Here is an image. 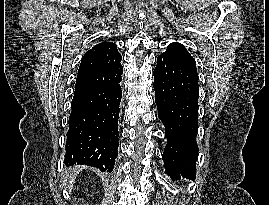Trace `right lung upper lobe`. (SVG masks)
I'll list each match as a JSON object with an SVG mask.
<instances>
[{
    "label": "right lung upper lobe",
    "instance_id": "obj_1",
    "mask_svg": "<svg viewBox=\"0 0 269 205\" xmlns=\"http://www.w3.org/2000/svg\"><path fill=\"white\" fill-rule=\"evenodd\" d=\"M116 44L101 42L88 50L80 63L76 90L111 85L121 79L123 68Z\"/></svg>",
    "mask_w": 269,
    "mask_h": 205
}]
</instances>
